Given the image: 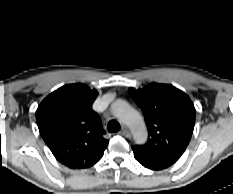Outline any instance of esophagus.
<instances>
[{
  "label": "esophagus",
  "instance_id": "34e87169",
  "mask_svg": "<svg viewBox=\"0 0 233 194\" xmlns=\"http://www.w3.org/2000/svg\"><path fill=\"white\" fill-rule=\"evenodd\" d=\"M119 133L126 138H131V133L127 129H122Z\"/></svg>",
  "mask_w": 233,
  "mask_h": 194
}]
</instances>
